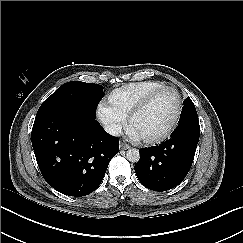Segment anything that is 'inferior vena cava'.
Wrapping results in <instances>:
<instances>
[{"label": "inferior vena cava", "mask_w": 243, "mask_h": 243, "mask_svg": "<svg viewBox=\"0 0 243 243\" xmlns=\"http://www.w3.org/2000/svg\"><path fill=\"white\" fill-rule=\"evenodd\" d=\"M104 130L112 136H119L121 133V127L117 124H107L104 126Z\"/></svg>", "instance_id": "602c4592"}]
</instances>
